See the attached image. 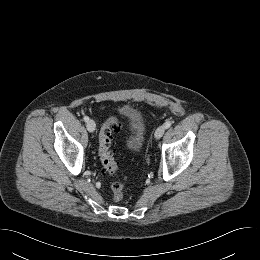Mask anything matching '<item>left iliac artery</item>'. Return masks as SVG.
<instances>
[{
    "label": "left iliac artery",
    "instance_id": "1",
    "mask_svg": "<svg viewBox=\"0 0 260 260\" xmlns=\"http://www.w3.org/2000/svg\"><path fill=\"white\" fill-rule=\"evenodd\" d=\"M171 125H172L171 122H166V123L164 124V126H165L166 129L169 128Z\"/></svg>",
    "mask_w": 260,
    "mask_h": 260
}]
</instances>
